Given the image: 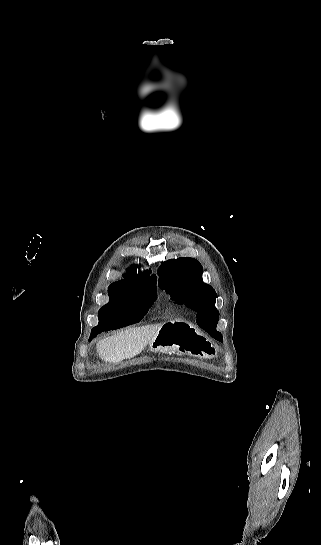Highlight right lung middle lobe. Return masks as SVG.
Wrapping results in <instances>:
<instances>
[{"mask_svg": "<svg viewBox=\"0 0 321 545\" xmlns=\"http://www.w3.org/2000/svg\"><path fill=\"white\" fill-rule=\"evenodd\" d=\"M110 301L107 305H116L121 303L131 304L135 307V315L131 323L139 322L148 312L157 297V289L129 290L121 288L108 289ZM99 328L117 325L125 322L124 320H109L98 313Z\"/></svg>", "mask_w": 321, "mask_h": 545, "instance_id": "1", "label": "right lung middle lobe"}]
</instances>
